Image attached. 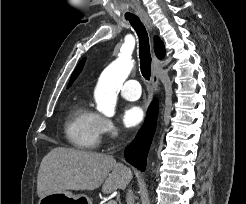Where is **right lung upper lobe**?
I'll return each mask as SVG.
<instances>
[{
    "label": "right lung upper lobe",
    "mask_w": 246,
    "mask_h": 204,
    "mask_svg": "<svg viewBox=\"0 0 246 204\" xmlns=\"http://www.w3.org/2000/svg\"><path fill=\"white\" fill-rule=\"evenodd\" d=\"M154 49H155V53L156 56L159 59H162L165 55V48H164V44L163 42L157 37H154ZM84 61L85 59H82L81 62L78 64V66L76 67V69L74 70L69 85L68 87L73 83V81L76 79V77L79 75V73L81 72L83 66H84Z\"/></svg>",
    "instance_id": "right-lung-upper-lobe-1"
}]
</instances>
